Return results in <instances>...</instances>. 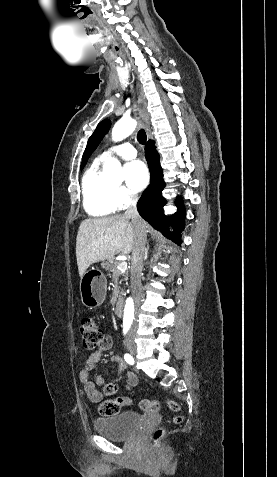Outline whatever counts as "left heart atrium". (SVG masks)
<instances>
[{"mask_svg":"<svg viewBox=\"0 0 277 477\" xmlns=\"http://www.w3.org/2000/svg\"><path fill=\"white\" fill-rule=\"evenodd\" d=\"M127 187L133 192L145 188L149 180L146 166L141 161H132L124 166Z\"/></svg>","mask_w":277,"mask_h":477,"instance_id":"obj_1","label":"left heart atrium"}]
</instances>
